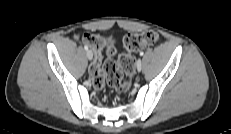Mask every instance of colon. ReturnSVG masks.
Returning a JSON list of instances; mask_svg holds the SVG:
<instances>
[{
  "label": "colon",
  "mask_w": 231,
  "mask_h": 134,
  "mask_svg": "<svg viewBox=\"0 0 231 134\" xmlns=\"http://www.w3.org/2000/svg\"><path fill=\"white\" fill-rule=\"evenodd\" d=\"M158 39V34L153 30L142 33H129L124 38V46L127 52L117 56L116 51L112 50L105 62L102 63L99 55L103 44L102 38L92 33L84 34L83 40L97 53L95 61L89 68L93 86L98 90L105 89L107 85L117 92L127 90L130 86V81H123V72L129 78L134 73L135 59L132 53L155 44Z\"/></svg>",
  "instance_id": "colon-1"
}]
</instances>
